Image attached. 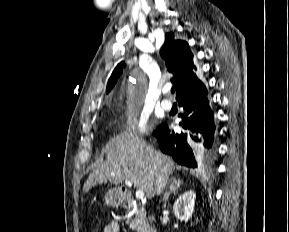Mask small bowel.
Instances as JSON below:
<instances>
[{
	"label": "small bowel",
	"mask_w": 289,
	"mask_h": 232,
	"mask_svg": "<svg viewBox=\"0 0 289 232\" xmlns=\"http://www.w3.org/2000/svg\"><path fill=\"white\" fill-rule=\"evenodd\" d=\"M120 231V226L117 222L112 221L108 223L103 232H119Z\"/></svg>",
	"instance_id": "1"
}]
</instances>
